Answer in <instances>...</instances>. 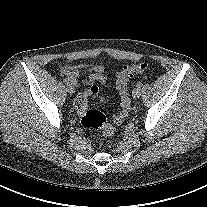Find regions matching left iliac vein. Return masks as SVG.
<instances>
[{
    "mask_svg": "<svg viewBox=\"0 0 207 207\" xmlns=\"http://www.w3.org/2000/svg\"><path fill=\"white\" fill-rule=\"evenodd\" d=\"M132 95H133V98L138 99L141 95L140 88H138V87L134 88L132 91Z\"/></svg>",
    "mask_w": 207,
    "mask_h": 207,
    "instance_id": "1",
    "label": "left iliac vein"
}]
</instances>
